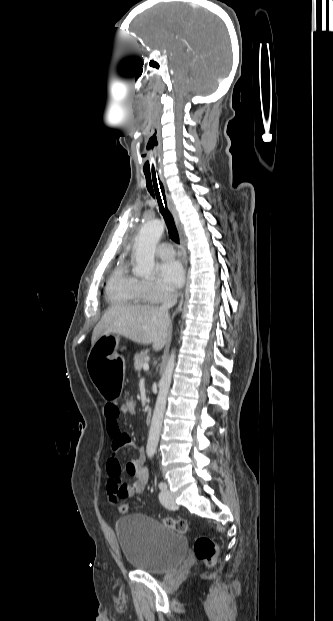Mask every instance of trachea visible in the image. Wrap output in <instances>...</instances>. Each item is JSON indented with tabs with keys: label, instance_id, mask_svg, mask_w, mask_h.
Here are the masks:
<instances>
[{
	"label": "trachea",
	"instance_id": "1",
	"mask_svg": "<svg viewBox=\"0 0 333 621\" xmlns=\"http://www.w3.org/2000/svg\"><path fill=\"white\" fill-rule=\"evenodd\" d=\"M145 178H146V186L147 189L150 193V195L155 199H157L158 205H159V209H160V213L162 214L167 228H168V233H169V237L176 243H179V234L173 219V216L171 215V213L169 212V210L167 209V203H166V196H165V191H164V187L162 182L160 181L159 177L156 176V174H150V173H146L144 172ZM159 183V184H158ZM161 190V195H160V191ZM163 196V200L166 206H163L162 203V197Z\"/></svg>",
	"mask_w": 333,
	"mask_h": 621
}]
</instances>
